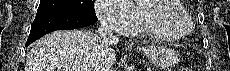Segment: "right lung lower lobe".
I'll list each match as a JSON object with an SVG mask.
<instances>
[{"label":"right lung lower lobe","mask_w":230,"mask_h":71,"mask_svg":"<svg viewBox=\"0 0 230 71\" xmlns=\"http://www.w3.org/2000/svg\"><path fill=\"white\" fill-rule=\"evenodd\" d=\"M97 20V18L76 13H45L36 15L26 46L49 32L86 27L95 23Z\"/></svg>","instance_id":"right-lung-lower-lobe-1"}]
</instances>
